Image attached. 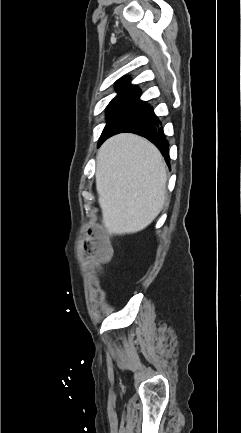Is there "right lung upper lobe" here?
<instances>
[{
    "label": "right lung upper lobe",
    "instance_id": "obj_1",
    "mask_svg": "<svg viewBox=\"0 0 241 433\" xmlns=\"http://www.w3.org/2000/svg\"><path fill=\"white\" fill-rule=\"evenodd\" d=\"M130 77L126 76L116 83L117 97H136L141 95V90L136 85H131Z\"/></svg>",
    "mask_w": 241,
    "mask_h": 433
}]
</instances>
